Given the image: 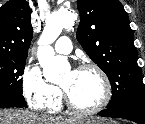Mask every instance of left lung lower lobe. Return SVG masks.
Instances as JSON below:
<instances>
[{"instance_id":"obj_1","label":"left lung lower lobe","mask_w":145,"mask_h":124,"mask_svg":"<svg viewBox=\"0 0 145 124\" xmlns=\"http://www.w3.org/2000/svg\"><path fill=\"white\" fill-rule=\"evenodd\" d=\"M98 115L102 117H118L131 120L137 124H145V108L124 105L102 110Z\"/></svg>"}]
</instances>
